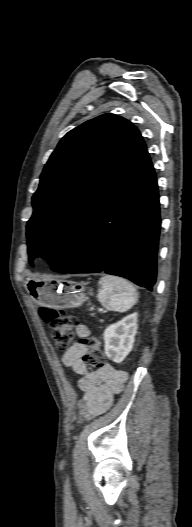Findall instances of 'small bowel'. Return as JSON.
Here are the masks:
<instances>
[{
  "label": "small bowel",
  "mask_w": 192,
  "mask_h": 527,
  "mask_svg": "<svg viewBox=\"0 0 192 527\" xmlns=\"http://www.w3.org/2000/svg\"><path fill=\"white\" fill-rule=\"evenodd\" d=\"M77 333L86 335V329L78 325ZM87 347L75 343L64 353L62 362L80 376L78 386L83 398L78 402V410L83 418H90L105 412L113 403L114 395L121 392L127 374L107 364L101 369L90 371L83 361Z\"/></svg>",
  "instance_id": "1"
}]
</instances>
